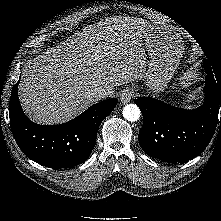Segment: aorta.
Returning <instances> with one entry per match:
<instances>
[{"mask_svg":"<svg viewBox=\"0 0 221 221\" xmlns=\"http://www.w3.org/2000/svg\"><path fill=\"white\" fill-rule=\"evenodd\" d=\"M123 117L130 122L139 120L141 112L137 105L128 104L123 108Z\"/></svg>","mask_w":221,"mask_h":221,"instance_id":"aorta-1","label":"aorta"}]
</instances>
